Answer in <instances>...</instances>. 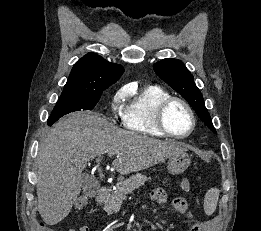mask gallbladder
<instances>
[{"label": "gallbladder", "instance_id": "obj_1", "mask_svg": "<svg viewBox=\"0 0 261 231\" xmlns=\"http://www.w3.org/2000/svg\"><path fill=\"white\" fill-rule=\"evenodd\" d=\"M84 192L87 196L94 195L99 190L98 182L87 174L82 176Z\"/></svg>", "mask_w": 261, "mask_h": 231}]
</instances>
